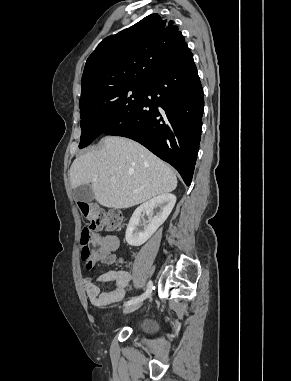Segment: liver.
I'll return each instance as SVG.
<instances>
[{
	"mask_svg": "<svg viewBox=\"0 0 291 381\" xmlns=\"http://www.w3.org/2000/svg\"><path fill=\"white\" fill-rule=\"evenodd\" d=\"M101 143V149L72 163L73 189L91 184L96 201L114 209L129 208L176 189L173 169L139 143L123 137H105Z\"/></svg>",
	"mask_w": 291,
	"mask_h": 381,
	"instance_id": "6515ba94",
	"label": "liver"
}]
</instances>
